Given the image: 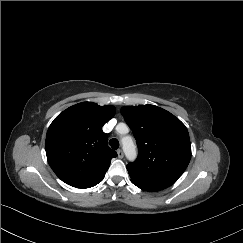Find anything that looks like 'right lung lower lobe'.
Instances as JSON below:
<instances>
[{
	"mask_svg": "<svg viewBox=\"0 0 243 243\" xmlns=\"http://www.w3.org/2000/svg\"><path fill=\"white\" fill-rule=\"evenodd\" d=\"M104 176H102L101 178L97 179L96 181H94V182H92V183H90V184H88V185H86L82 188H89V187L95 186L96 184H98L99 182H101L103 180Z\"/></svg>",
	"mask_w": 243,
	"mask_h": 243,
	"instance_id": "98d812e1",
	"label": "right lung lower lobe"
}]
</instances>
